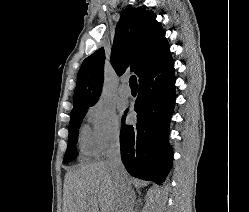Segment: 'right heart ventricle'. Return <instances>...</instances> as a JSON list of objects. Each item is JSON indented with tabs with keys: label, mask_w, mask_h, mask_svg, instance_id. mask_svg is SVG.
Instances as JSON below:
<instances>
[{
	"label": "right heart ventricle",
	"mask_w": 249,
	"mask_h": 212,
	"mask_svg": "<svg viewBox=\"0 0 249 212\" xmlns=\"http://www.w3.org/2000/svg\"><path fill=\"white\" fill-rule=\"evenodd\" d=\"M79 146L83 154H91V150L87 143L86 134L83 132L81 133L79 138Z\"/></svg>",
	"instance_id": "e07e8e85"
}]
</instances>
